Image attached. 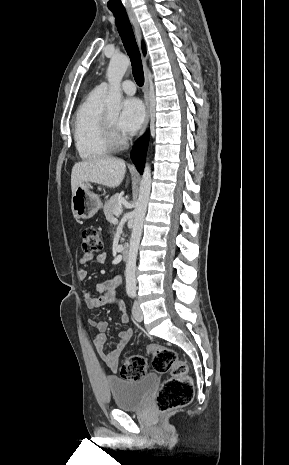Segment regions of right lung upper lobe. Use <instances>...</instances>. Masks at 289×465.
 Instances as JSON below:
<instances>
[{
	"label": "right lung upper lobe",
	"instance_id": "cb5924a9",
	"mask_svg": "<svg viewBox=\"0 0 289 465\" xmlns=\"http://www.w3.org/2000/svg\"><path fill=\"white\" fill-rule=\"evenodd\" d=\"M143 53L145 54V46L142 45Z\"/></svg>",
	"mask_w": 289,
	"mask_h": 465
}]
</instances>
